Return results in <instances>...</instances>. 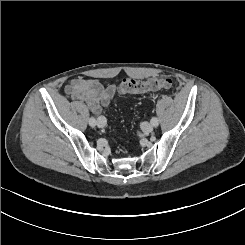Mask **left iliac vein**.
Returning <instances> with one entry per match:
<instances>
[{"label": "left iliac vein", "mask_w": 245, "mask_h": 245, "mask_svg": "<svg viewBox=\"0 0 245 245\" xmlns=\"http://www.w3.org/2000/svg\"><path fill=\"white\" fill-rule=\"evenodd\" d=\"M141 128L144 132L149 133L153 130V125L149 122H143Z\"/></svg>", "instance_id": "obj_1"}]
</instances>
